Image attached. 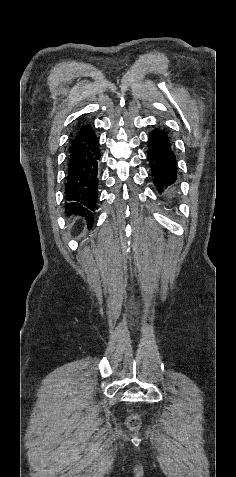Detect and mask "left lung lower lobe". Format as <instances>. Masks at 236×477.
<instances>
[{
    "label": "left lung lower lobe",
    "instance_id": "1",
    "mask_svg": "<svg viewBox=\"0 0 236 477\" xmlns=\"http://www.w3.org/2000/svg\"><path fill=\"white\" fill-rule=\"evenodd\" d=\"M147 157L159 192L170 197L177 182V161L164 130L155 128L150 133Z\"/></svg>",
    "mask_w": 236,
    "mask_h": 477
}]
</instances>
